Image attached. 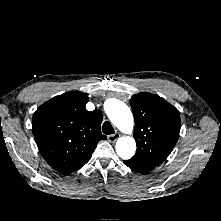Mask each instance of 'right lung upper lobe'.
I'll return each mask as SVG.
<instances>
[{
    "label": "right lung upper lobe",
    "mask_w": 221,
    "mask_h": 221,
    "mask_svg": "<svg viewBox=\"0 0 221 221\" xmlns=\"http://www.w3.org/2000/svg\"><path fill=\"white\" fill-rule=\"evenodd\" d=\"M88 94L71 91L42 104L33 115L32 129L43 158L55 170L70 174L84 166L100 140V111H87Z\"/></svg>",
    "instance_id": "obj_1"
}]
</instances>
